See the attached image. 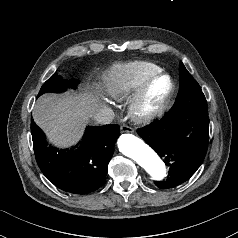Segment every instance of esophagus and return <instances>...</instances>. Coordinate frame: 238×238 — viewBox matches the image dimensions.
I'll use <instances>...</instances> for the list:
<instances>
[{"instance_id":"obj_1","label":"esophagus","mask_w":238,"mask_h":238,"mask_svg":"<svg viewBox=\"0 0 238 238\" xmlns=\"http://www.w3.org/2000/svg\"><path fill=\"white\" fill-rule=\"evenodd\" d=\"M120 131L122 132V133H126V132H133V128L132 127H130V126H128V125H122L121 127H120Z\"/></svg>"}]
</instances>
